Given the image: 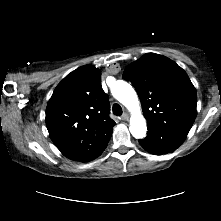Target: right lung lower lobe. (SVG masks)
<instances>
[{
	"label": "right lung lower lobe",
	"mask_w": 221,
	"mask_h": 221,
	"mask_svg": "<svg viewBox=\"0 0 221 221\" xmlns=\"http://www.w3.org/2000/svg\"><path fill=\"white\" fill-rule=\"evenodd\" d=\"M109 140L110 138L106 140L105 142H103L91 155H89L85 160H83V162L91 161L95 159L96 157H98L107 147Z\"/></svg>",
	"instance_id": "right-lung-lower-lobe-1"
}]
</instances>
